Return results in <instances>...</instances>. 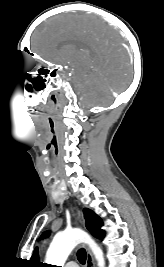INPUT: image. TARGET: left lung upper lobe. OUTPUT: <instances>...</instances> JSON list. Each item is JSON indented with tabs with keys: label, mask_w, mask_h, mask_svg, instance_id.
<instances>
[{
	"label": "left lung upper lobe",
	"mask_w": 164,
	"mask_h": 267,
	"mask_svg": "<svg viewBox=\"0 0 164 267\" xmlns=\"http://www.w3.org/2000/svg\"><path fill=\"white\" fill-rule=\"evenodd\" d=\"M84 217L86 220L87 229L98 239H103L105 232L101 230L103 225L102 220L90 209H84ZM50 232L46 231L43 233L41 238L49 236Z\"/></svg>",
	"instance_id": "obj_1"
}]
</instances>
